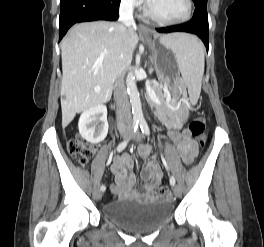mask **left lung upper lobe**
<instances>
[{
    "instance_id": "obj_1",
    "label": "left lung upper lobe",
    "mask_w": 264,
    "mask_h": 247,
    "mask_svg": "<svg viewBox=\"0 0 264 247\" xmlns=\"http://www.w3.org/2000/svg\"><path fill=\"white\" fill-rule=\"evenodd\" d=\"M195 9L207 10V0H193Z\"/></svg>"
}]
</instances>
